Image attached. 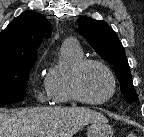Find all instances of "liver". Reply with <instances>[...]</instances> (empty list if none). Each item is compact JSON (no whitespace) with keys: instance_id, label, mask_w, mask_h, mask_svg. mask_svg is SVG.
Listing matches in <instances>:
<instances>
[{"instance_id":"obj_1","label":"liver","mask_w":144,"mask_h":137,"mask_svg":"<svg viewBox=\"0 0 144 137\" xmlns=\"http://www.w3.org/2000/svg\"><path fill=\"white\" fill-rule=\"evenodd\" d=\"M95 121L107 119L85 107L0 109V137H73Z\"/></svg>"}]
</instances>
